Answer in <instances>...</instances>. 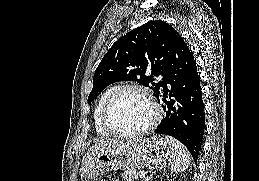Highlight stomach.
Here are the masks:
<instances>
[{
    "instance_id": "stomach-1",
    "label": "stomach",
    "mask_w": 259,
    "mask_h": 181,
    "mask_svg": "<svg viewBox=\"0 0 259 181\" xmlns=\"http://www.w3.org/2000/svg\"><path fill=\"white\" fill-rule=\"evenodd\" d=\"M171 160L169 144L160 136L141 138L125 144L94 146L84 156L82 174L95 178L110 170L162 169Z\"/></svg>"
}]
</instances>
